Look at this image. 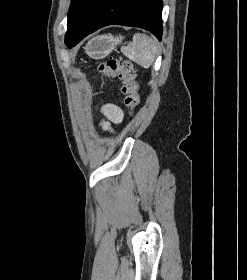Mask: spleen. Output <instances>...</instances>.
I'll return each mask as SVG.
<instances>
[{
  "mask_svg": "<svg viewBox=\"0 0 247 280\" xmlns=\"http://www.w3.org/2000/svg\"><path fill=\"white\" fill-rule=\"evenodd\" d=\"M121 52L130 60L144 68H149L157 52L156 39L146 34L136 33L133 41L121 48Z\"/></svg>",
  "mask_w": 247,
  "mask_h": 280,
  "instance_id": "spleen-1",
  "label": "spleen"
}]
</instances>
